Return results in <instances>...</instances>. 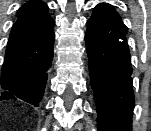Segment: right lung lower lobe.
<instances>
[{
	"label": "right lung lower lobe",
	"instance_id": "right-lung-lower-lobe-1",
	"mask_svg": "<svg viewBox=\"0 0 151 131\" xmlns=\"http://www.w3.org/2000/svg\"><path fill=\"white\" fill-rule=\"evenodd\" d=\"M53 58V48L49 58L33 73L12 84H1L0 100L22 99L35 107L43 97L49 69Z\"/></svg>",
	"mask_w": 151,
	"mask_h": 131
}]
</instances>
